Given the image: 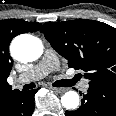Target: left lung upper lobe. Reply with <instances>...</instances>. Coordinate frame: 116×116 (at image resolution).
<instances>
[{"label": "left lung upper lobe", "instance_id": "left-lung-upper-lobe-1", "mask_svg": "<svg viewBox=\"0 0 116 116\" xmlns=\"http://www.w3.org/2000/svg\"><path fill=\"white\" fill-rule=\"evenodd\" d=\"M51 46L68 60L69 67L85 71L89 86L116 87V29L102 22L77 19L46 22Z\"/></svg>", "mask_w": 116, "mask_h": 116}]
</instances>
